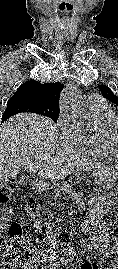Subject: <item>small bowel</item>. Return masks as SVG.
<instances>
[{
	"mask_svg": "<svg viewBox=\"0 0 118 269\" xmlns=\"http://www.w3.org/2000/svg\"><path fill=\"white\" fill-rule=\"evenodd\" d=\"M106 216L107 209L105 204L95 203L92 205L91 216L85 223L86 237L81 240V243L99 250L109 257L118 256V241H114L112 247L107 243L108 234ZM66 264L67 260L60 259L54 265L46 267L45 269H59L61 266ZM109 267L104 269H117L116 262L112 261V268ZM90 268H92V264ZM69 269H76V267Z\"/></svg>",
	"mask_w": 118,
	"mask_h": 269,
	"instance_id": "small-bowel-1",
	"label": "small bowel"
}]
</instances>
